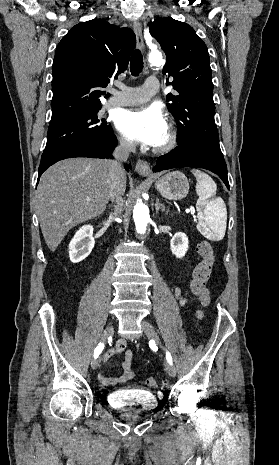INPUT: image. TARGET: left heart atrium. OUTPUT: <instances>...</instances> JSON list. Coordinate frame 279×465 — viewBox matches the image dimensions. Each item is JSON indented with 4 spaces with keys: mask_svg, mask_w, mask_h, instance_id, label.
Segmentation results:
<instances>
[{
    "mask_svg": "<svg viewBox=\"0 0 279 465\" xmlns=\"http://www.w3.org/2000/svg\"><path fill=\"white\" fill-rule=\"evenodd\" d=\"M118 129L129 139L155 146L167 129V123L156 107L123 112L117 120Z\"/></svg>",
    "mask_w": 279,
    "mask_h": 465,
    "instance_id": "1",
    "label": "left heart atrium"
}]
</instances>
